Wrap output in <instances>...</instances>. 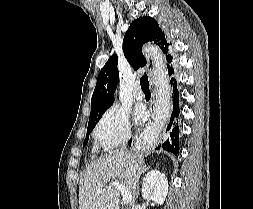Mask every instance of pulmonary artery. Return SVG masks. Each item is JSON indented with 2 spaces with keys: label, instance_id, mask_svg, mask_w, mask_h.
Here are the masks:
<instances>
[{
  "label": "pulmonary artery",
  "instance_id": "pulmonary-artery-1",
  "mask_svg": "<svg viewBox=\"0 0 253 209\" xmlns=\"http://www.w3.org/2000/svg\"><path fill=\"white\" fill-rule=\"evenodd\" d=\"M133 94H134L135 99L139 100V101L143 100L144 97H145L143 91L140 89L139 84H136L134 86V92H133Z\"/></svg>",
  "mask_w": 253,
  "mask_h": 209
}]
</instances>
